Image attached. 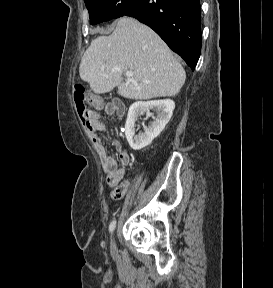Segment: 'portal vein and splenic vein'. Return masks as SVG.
<instances>
[{
  "label": "portal vein and splenic vein",
  "instance_id": "18ae733b",
  "mask_svg": "<svg viewBox=\"0 0 273 288\" xmlns=\"http://www.w3.org/2000/svg\"><path fill=\"white\" fill-rule=\"evenodd\" d=\"M133 74H134V73H133L132 71H126L125 75H126L127 80H128L129 82H133V79H132Z\"/></svg>",
  "mask_w": 273,
  "mask_h": 288
}]
</instances>
